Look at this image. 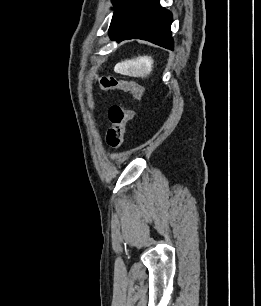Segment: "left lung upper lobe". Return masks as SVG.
Listing matches in <instances>:
<instances>
[{"label": "left lung upper lobe", "mask_w": 261, "mask_h": 306, "mask_svg": "<svg viewBox=\"0 0 261 306\" xmlns=\"http://www.w3.org/2000/svg\"><path fill=\"white\" fill-rule=\"evenodd\" d=\"M131 1L132 0H112V3L115 6V9H114V14H113L112 21L110 24L109 32H111L113 28L116 26L120 16L122 15V12L124 11V9L127 7V5Z\"/></svg>", "instance_id": "1"}]
</instances>
